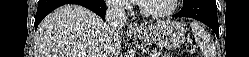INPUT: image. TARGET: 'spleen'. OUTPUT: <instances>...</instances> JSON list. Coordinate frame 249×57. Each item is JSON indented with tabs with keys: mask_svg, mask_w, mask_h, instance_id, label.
Here are the masks:
<instances>
[{
	"mask_svg": "<svg viewBox=\"0 0 249 57\" xmlns=\"http://www.w3.org/2000/svg\"><path fill=\"white\" fill-rule=\"evenodd\" d=\"M192 33L196 39V42L204 49L205 57H215L214 52L210 50V45L208 44L210 36L197 22L193 21L191 24Z\"/></svg>",
	"mask_w": 249,
	"mask_h": 57,
	"instance_id": "obj_1",
	"label": "spleen"
}]
</instances>
